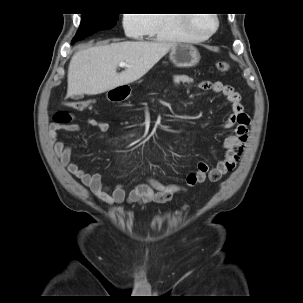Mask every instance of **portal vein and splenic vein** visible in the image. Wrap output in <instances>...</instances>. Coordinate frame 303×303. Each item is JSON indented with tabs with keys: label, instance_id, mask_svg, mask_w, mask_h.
I'll return each mask as SVG.
<instances>
[{
	"label": "portal vein and splenic vein",
	"instance_id": "portal-vein-and-splenic-vein-1",
	"mask_svg": "<svg viewBox=\"0 0 303 303\" xmlns=\"http://www.w3.org/2000/svg\"><path fill=\"white\" fill-rule=\"evenodd\" d=\"M119 66H120V67H127V64L124 63V62H121V63H119Z\"/></svg>",
	"mask_w": 303,
	"mask_h": 303
}]
</instances>
